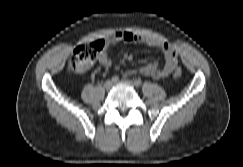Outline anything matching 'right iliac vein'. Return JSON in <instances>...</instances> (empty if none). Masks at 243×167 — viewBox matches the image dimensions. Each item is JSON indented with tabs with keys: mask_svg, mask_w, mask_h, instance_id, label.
I'll return each instance as SVG.
<instances>
[{
	"mask_svg": "<svg viewBox=\"0 0 243 167\" xmlns=\"http://www.w3.org/2000/svg\"><path fill=\"white\" fill-rule=\"evenodd\" d=\"M112 86H113V82L110 81V80H108V81H106V82L104 83V88H105L106 90H110V89L112 88Z\"/></svg>",
	"mask_w": 243,
	"mask_h": 167,
	"instance_id": "1",
	"label": "right iliac vein"
}]
</instances>
